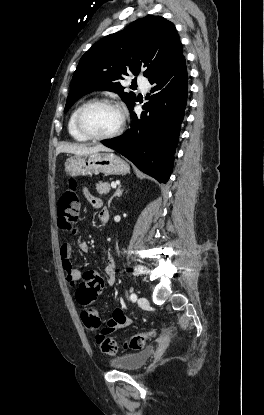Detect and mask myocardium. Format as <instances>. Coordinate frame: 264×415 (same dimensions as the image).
I'll return each mask as SVG.
<instances>
[{"mask_svg":"<svg viewBox=\"0 0 264 415\" xmlns=\"http://www.w3.org/2000/svg\"><path fill=\"white\" fill-rule=\"evenodd\" d=\"M97 106H111L114 107L116 109H118L120 111L121 114V120H120V124L117 127L116 130H114L113 132L109 133V134H104V135H97L94 133H91L90 131H88L83 123V116L86 113V111H88L91 108L97 107ZM125 124H126V116L124 111L122 110V108L113 100L110 99H96V100H91L88 101L87 103H85L84 105H82L79 110L76 113L75 116V127L77 129V131L84 136L85 138H87L88 140H97V141H101V140H108V139H113L118 137L124 130L125 128Z\"/></svg>","mask_w":264,"mask_h":415,"instance_id":"obj_1","label":"myocardium"}]
</instances>
